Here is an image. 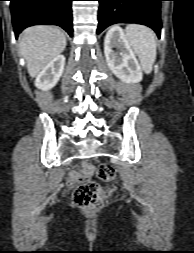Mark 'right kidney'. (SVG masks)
I'll use <instances>...</instances> for the list:
<instances>
[{"instance_id": "right-kidney-1", "label": "right kidney", "mask_w": 194, "mask_h": 253, "mask_svg": "<svg viewBox=\"0 0 194 253\" xmlns=\"http://www.w3.org/2000/svg\"><path fill=\"white\" fill-rule=\"evenodd\" d=\"M64 66L65 57L56 56L36 77L35 86L43 91L53 88L62 76Z\"/></svg>"}]
</instances>
